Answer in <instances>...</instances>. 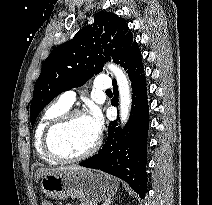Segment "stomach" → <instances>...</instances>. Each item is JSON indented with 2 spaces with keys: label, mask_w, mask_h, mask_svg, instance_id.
I'll list each match as a JSON object with an SVG mask.
<instances>
[{
  "label": "stomach",
  "mask_w": 212,
  "mask_h": 205,
  "mask_svg": "<svg viewBox=\"0 0 212 205\" xmlns=\"http://www.w3.org/2000/svg\"><path fill=\"white\" fill-rule=\"evenodd\" d=\"M40 189L52 199L74 198L96 205L100 201H110L118 190V183L101 172L65 170L44 175Z\"/></svg>",
  "instance_id": "obj_1"
}]
</instances>
